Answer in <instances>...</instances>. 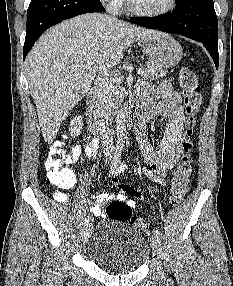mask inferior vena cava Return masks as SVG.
I'll list each match as a JSON object with an SVG mask.
<instances>
[{
    "label": "inferior vena cava",
    "mask_w": 233,
    "mask_h": 286,
    "mask_svg": "<svg viewBox=\"0 0 233 286\" xmlns=\"http://www.w3.org/2000/svg\"><path fill=\"white\" fill-rule=\"evenodd\" d=\"M94 84V93L96 97V103L98 105V126L102 132L111 134V82L108 72L106 70H101Z\"/></svg>",
    "instance_id": "obj_1"
}]
</instances>
